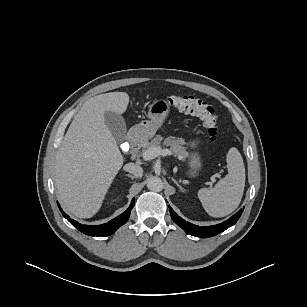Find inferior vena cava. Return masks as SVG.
Instances as JSON below:
<instances>
[{
	"label": "inferior vena cava",
	"instance_id": "1",
	"mask_svg": "<svg viewBox=\"0 0 307 307\" xmlns=\"http://www.w3.org/2000/svg\"><path fill=\"white\" fill-rule=\"evenodd\" d=\"M123 169L129 173H132L133 175H135L137 178L142 177L143 175V169L141 166L136 165L134 163H128L126 164Z\"/></svg>",
	"mask_w": 307,
	"mask_h": 307
}]
</instances>
